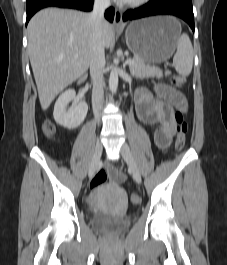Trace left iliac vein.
Masks as SVG:
<instances>
[{
  "label": "left iliac vein",
  "mask_w": 227,
  "mask_h": 265,
  "mask_svg": "<svg viewBox=\"0 0 227 265\" xmlns=\"http://www.w3.org/2000/svg\"><path fill=\"white\" fill-rule=\"evenodd\" d=\"M120 153H121L124 161L127 163L129 170L132 173L135 181L138 184H140L141 183L140 171H139L138 166H137V164L133 158V155L130 151L129 146L126 143L122 144L121 149H120Z\"/></svg>",
  "instance_id": "left-iliac-vein-1"
}]
</instances>
